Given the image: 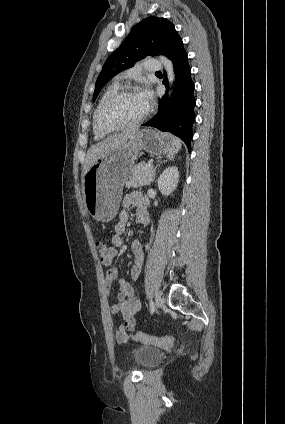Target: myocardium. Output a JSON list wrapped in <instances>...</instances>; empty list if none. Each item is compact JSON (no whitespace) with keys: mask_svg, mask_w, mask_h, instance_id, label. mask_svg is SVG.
Returning a JSON list of instances; mask_svg holds the SVG:
<instances>
[{"mask_svg":"<svg viewBox=\"0 0 285 424\" xmlns=\"http://www.w3.org/2000/svg\"><path fill=\"white\" fill-rule=\"evenodd\" d=\"M135 93H138L136 88L128 87V88L120 89L116 91L114 94H112L111 96H109L104 101V103L101 105V107L99 108L97 112V116H96L97 127L104 132H113V131H119V130L135 127L141 124L144 120H146L147 117L149 116V109H147V111L142 116H140L139 118H137L136 120L132 122L122 123V124H107L103 121L104 112L110 105H112L115 101L119 100L120 98L124 96L135 94Z\"/></svg>","mask_w":285,"mask_h":424,"instance_id":"f54148a6","label":"myocardium"}]
</instances>
